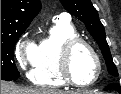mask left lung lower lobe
I'll return each instance as SVG.
<instances>
[{
  "label": "left lung lower lobe",
  "mask_w": 121,
  "mask_h": 94,
  "mask_svg": "<svg viewBox=\"0 0 121 94\" xmlns=\"http://www.w3.org/2000/svg\"><path fill=\"white\" fill-rule=\"evenodd\" d=\"M111 89L117 90L121 94V86H119L118 84H109L105 88V90H111Z\"/></svg>",
  "instance_id": "left-lung-lower-lobe-1"
}]
</instances>
